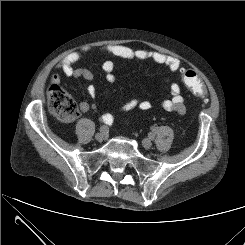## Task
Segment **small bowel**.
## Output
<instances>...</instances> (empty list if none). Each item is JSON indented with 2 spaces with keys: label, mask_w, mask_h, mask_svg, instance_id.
<instances>
[{
  "label": "small bowel",
  "mask_w": 245,
  "mask_h": 245,
  "mask_svg": "<svg viewBox=\"0 0 245 245\" xmlns=\"http://www.w3.org/2000/svg\"><path fill=\"white\" fill-rule=\"evenodd\" d=\"M90 48H83L78 52L70 54L66 56L61 62H59L56 66L59 70L63 72L64 75L68 77L74 78H83L85 80H91L93 78V74L90 70L86 68H75V64L82 58V56L88 52ZM104 52L114 58L127 60V61H145L151 60L156 64H160L165 66L171 72H177L181 63L180 60L155 51H147V50H138L135 51L131 48L122 45H108L105 47ZM115 64L112 60H106L102 64V70L105 73V78L107 82L114 83L116 81V76L114 73ZM61 81V77L58 74H54L51 77V82L53 84H58ZM165 83L169 87V91L171 97L169 99L164 100L161 103V106L164 110L168 112H174L179 115H183L186 112V107L184 104V99L181 95V87L176 82H171L169 78H165ZM88 94L91 97H95L96 88L93 85L88 86ZM151 102L147 99L140 100L138 98H131L127 102H125L120 108L119 111L121 113H128L134 110H139L142 112L149 111L151 109ZM79 108L81 112L85 113L90 109L89 103L82 101L79 104ZM109 115H103V121L109 118Z\"/></svg>",
  "instance_id": "c3829d8e"
}]
</instances>
